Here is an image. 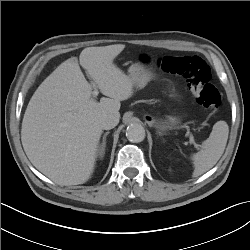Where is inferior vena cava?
Masks as SVG:
<instances>
[{"label": "inferior vena cava", "mask_w": 250, "mask_h": 250, "mask_svg": "<svg viewBox=\"0 0 250 250\" xmlns=\"http://www.w3.org/2000/svg\"><path fill=\"white\" fill-rule=\"evenodd\" d=\"M119 123V118L114 115H108L101 119L100 126L104 130H110Z\"/></svg>", "instance_id": "1"}]
</instances>
